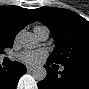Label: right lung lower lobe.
Segmentation results:
<instances>
[{
    "label": "right lung lower lobe",
    "instance_id": "right-lung-lower-lobe-1",
    "mask_svg": "<svg viewBox=\"0 0 89 89\" xmlns=\"http://www.w3.org/2000/svg\"><path fill=\"white\" fill-rule=\"evenodd\" d=\"M26 73V67L19 62H12L8 67L0 70V87L15 89L19 78Z\"/></svg>",
    "mask_w": 89,
    "mask_h": 89
}]
</instances>
